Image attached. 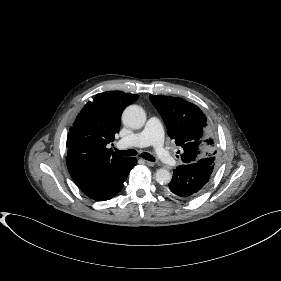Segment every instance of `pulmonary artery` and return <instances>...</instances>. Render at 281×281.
<instances>
[{"mask_svg":"<svg viewBox=\"0 0 281 281\" xmlns=\"http://www.w3.org/2000/svg\"><path fill=\"white\" fill-rule=\"evenodd\" d=\"M154 146L158 158L166 165L175 164L171 152L164 147L162 124L157 117L148 119L142 131L123 137L117 142L119 148Z\"/></svg>","mask_w":281,"mask_h":281,"instance_id":"pulmonary-artery-1","label":"pulmonary artery"}]
</instances>
